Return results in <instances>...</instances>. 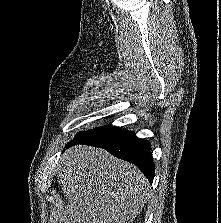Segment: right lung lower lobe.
<instances>
[{
    "label": "right lung lower lobe",
    "instance_id": "98d812e1",
    "mask_svg": "<svg viewBox=\"0 0 221 223\" xmlns=\"http://www.w3.org/2000/svg\"><path fill=\"white\" fill-rule=\"evenodd\" d=\"M76 144L106 149L115 157L136 165L150 183L153 181L154 163L150 155L151 145L148 141L136 137L133 132L108 126L83 138L71 141L66 147L69 148Z\"/></svg>",
    "mask_w": 221,
    "mask_h": 223
}]
</instances>
